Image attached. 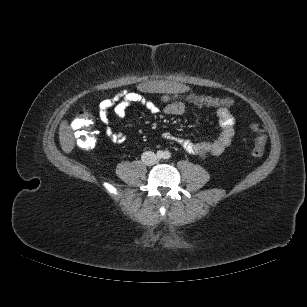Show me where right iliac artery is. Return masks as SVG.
<instances>
[{
  "label": "right iliac artery",
  "instance_id": "1",
  "mask_svg": "<svg viewBox=\"0 0 307 307\" xmlns=\"http://www.w3.org/2000/svg\"><path fill=\"white\" fill-rule=\"evenodd\" d=\"M157 157L159 158V159H161V158H163L164 157V153L162 152V151H158L157 152Z\"/></svg>",
  "mask_w": 307,
  "mask_h": 307
}]
</instances>
